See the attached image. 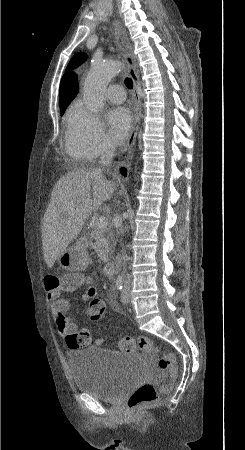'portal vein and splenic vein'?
Returning <instances> with one entry per match:
<instances>
[{"mask_svg":"<svg viewBox=\"0 0 245 450\" xmlns=\"http://www.w3.org/2000/svg\"><path fill=\"white\" fill-rule=\"evenodd\" d=\"M108 226V221L105 217H99L96 220V227L99 229H106Z\"/></svg>","mask_w":245,"mask_h":450,"instance_id":"18ae733b","label":"portal vein and splenic vein"}]
</instances>
